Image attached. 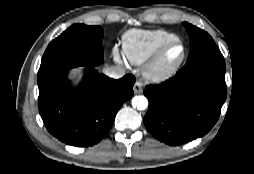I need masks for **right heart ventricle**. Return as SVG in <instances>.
Here are the masks:
<instances>
[{
  "label": "right heart ventricle",
  "mask_w": 254,
  "mask_h": 174,
  "mask_svg": "<svg viewBox=\"0 0 254 174\" xmlns=\"http://www.w3.org/2000/svg\"><path fill=\"white\" fill-rule=\"evenodd\" d=\"M175 38L177 36L174 33L163 29L128 30L122 37L124 57L133 65H141L147 62L162 44Z\"/></svg>",
  "instance_id": "right-heart-ventricle-1"
}]
</instances>
